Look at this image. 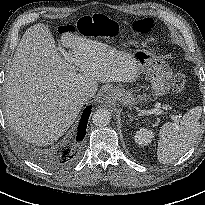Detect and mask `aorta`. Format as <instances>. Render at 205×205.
I'll list each match as a JSON object with an SVG mask.
<instances>
[{
	"mask_svg": "<svg viewBox=\"0 0 205 205\" xmlns=\"http://www.w3.org/2000/svg\"><path fill=\"white\" fill-rule=\"evenodd\" d=\"M92 120L96 126H106L111 120V114L107 109H98L93 113Z\"/></svg>",
	"mask_w": 205,
	"mask_h": 205,
	"instance_id": "obj_1",
	"label": "aorta"
}]
</instances>
